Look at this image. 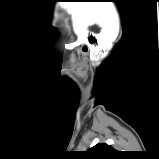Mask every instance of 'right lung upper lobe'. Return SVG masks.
Listing matches in <instances>:
<instances>
[{"label": "right lung upper lobe", "mask_w": 159, "mask_h": 159, "mask_svg": "<svg viewBox=\"0 0 159 159\" xmlns=\"http://www.w3.org/2000/svg\"><path fill=\"white\" fill-rule=\"evenodd\" d=\"M89 151L99 155L100 157H98V159H104V157H101V156H104L106 153L113 152L114 149L107 144L100 143V144L95 145L91 149H89Z\"/></svg>", "instance_id": "1"}]
</instances>
